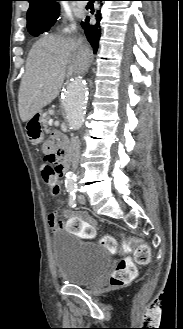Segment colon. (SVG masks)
Returning <instances> with one entry per match:
<instances>
[{"label": "colon", "instance_id": "5ec220e1", "mask_svg": "<svg viewBox=\"0 0 183 329\" xmlns=\"http://www.w3.org/2000/svg\"><path fill=\"white\" fill-rule=\"evenodd\" d=\"M62 175L63 168L57 161L55 155L47 154L41 163V176L44 182L49 185L51 193L55 196L61 193L60 181ZM100 243L110 251L116 250V242L112 237L105 236L101 238ZM150 255V248L146 243H134L133 260L125 257L118 262L110 277V285L113 287H121L133 280L136 276L135 263L140 265L147 264L150 261Z\"/></svg>", "mask_w": 183, "mask_h": 329}]
</instances>
